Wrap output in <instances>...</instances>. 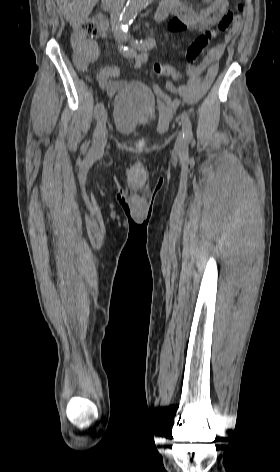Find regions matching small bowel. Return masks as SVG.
<instances>
[{
    "label": "small bowel",
    "instance_id": "obj_1",
    "mask_svg": "<svg viewBox=\"0 0 280 472\" xmlns=\"http://www.w3.org/2000/svg\"><path fill=\"white\" fill-rule=\"evenodd\" d=\"M211 2L212 0H206ZM173 19L169 22L168 28L171 32L182 33L185 31H202L214 26L228 9V0H213L209 6L201 10H195L181 0H163L162 3ZM100 32L104 37L107 31V24L100 21ZM239 27H232L225 35L224 42L216 44L210 49L204 59L198 64H189L186 67L185 74L188 82L182 86H175L172 82H166L168 91L178 95L180 99L171 97L161 90L157 85L153 86L154 92L158 98V108L163 123H168L176 110L185 104L197 103L208 91L218 72V61L223 55L226 43L233 40L238 34ZM72 47L74 56L82 58L87 70L88 66L95 62L99 55V49L96 41L87 38L82 33L76 31L72 35ZM134 68H141L147 62V55L144 53L136 54L134 57ZM111 68V80L106 88L107 94L112 96L123 85V81L114 80L119 71L114 66Z\"/></svg>",
    "mask_w": 280,
    "mask_h": 472
}]
</instances>
